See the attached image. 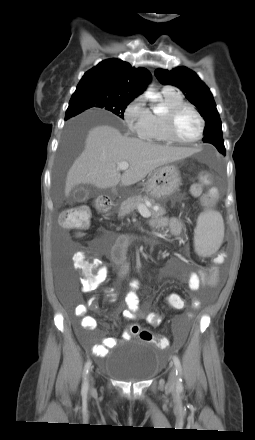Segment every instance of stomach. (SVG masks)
I'll list each match as a JSON object with an SVG mask.
<instances>
[{
  "label": "stomach",
  "instance_id": "0dacf381",
  "mask_svg": "<svg viewBox=\"0 0 255 440\" xmlns=\"http://www.w3.org/2000/svg\"><path fill=\"white\" fill-rule=\"evenodd\" d=\"M181 185L180 172L174 165L157 168L149 177L146 188L156 199H165L174 194Z\"/></svg>",
  "mask_w": 255,
  "mask_h": 440
}]
</instances>
